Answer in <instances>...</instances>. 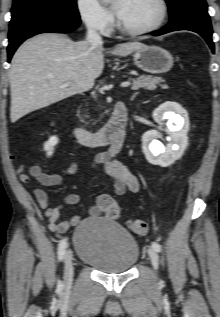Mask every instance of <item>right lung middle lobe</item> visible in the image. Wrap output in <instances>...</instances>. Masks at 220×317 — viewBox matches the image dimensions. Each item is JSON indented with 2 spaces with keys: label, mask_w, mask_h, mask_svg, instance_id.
<instances>
[{
  "label": "right lung middle lobe",
  "mask_w": 220,
  "mask_h": 317,
  "mask_svg": "<svg viewBox=\"0 0 220 317\" xmlns=\"http://www.w3.org/2000/svg\"><path fill=\"white\" fill-rule=\"evenodd\" d=\"M12 19L36 13H54L79 19L76 0H14L11 10Z\"/></svg>",
  "instance_id": "obj_1"
}]
</instances>
